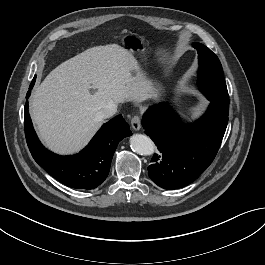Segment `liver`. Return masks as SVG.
<instances>
[{
    "instance_id": "1",
    "label": "liver",
    "mask_w": 265,
    "mask_h": 265,
    "mask_svg": "<svg viewBox=\"0 0 265 265\" xmlns=\"http://www.w3.org/2000/svg\"><path fill=\"white\" fill-rule=\"evenodd\" d=\"M133 54L108 44L85 50L53 69L30 98V111L42 142L58 154L80 151L101 127L98 112L107 105L142 101L152 84L138 72Z\"/></svg>"
}]
</instances>
